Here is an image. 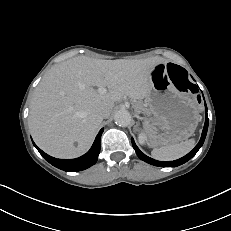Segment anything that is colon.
Segmentation results:
<instances>
[{
    "instance_id": "obj_1",
    "label": "colon",
    "mask_w": 231,
    "mask_h": 231,
    "mask_svg": "<svg viewBox=\"0 0 231 231\" xmlns=\"http://www.w3.org/2000/svg\"><path fill=\"white\" fill-rule=\"evenodd\" d=\"M167 71L174 86L182 93H193L194 85L188 78L187 72L180 66L170 63Z\"/></svg>"
}]
</instances>
